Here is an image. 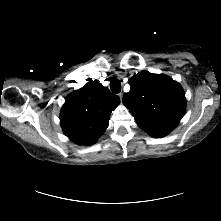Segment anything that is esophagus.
<instances>
[{
  "label": "esophagus",
  "instance_id": "obj_1",
  "mask_svg": "<svg viewBox=\"0 0 221 221\" xmlns=\"http://www.w3.org/2000/svg\"><path fill=\"white\" fill-rule=\"evenodd\" d=\"M119 97H120V99L122 101L123 93H119Z\"/></svg>",
  "mask_w": 221,
  "mask_h": 221
}]
</instances>
